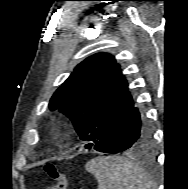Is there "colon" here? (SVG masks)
Wrapping results in <instances>:
<instances>
[{
	"label": "colon",
	"mask_w": 188,
	"mask_h": 189,
	"mask_svg": "<svg viewBox=\"0 0 188 189\" xmlns=\"http://www.w3.org/2000/svg\"><path fill=\"white\" fill-rule=\"evenodd\" d=\"M46 175L54 181V184L48 189H67L68 179L55 163L48 162L44 165Z\"/></svg>",
	"instance_id": "colon-1"
}]
</instances>
